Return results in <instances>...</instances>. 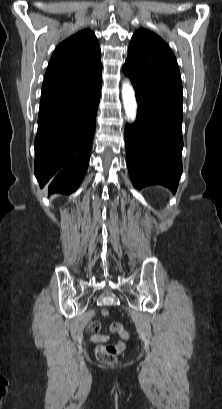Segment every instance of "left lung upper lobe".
Masks as SVG:
<instances>
[{"label": "left lung upper lobe", "instance_id": "obj_1", "mask_svg": "<svg viewBox=\"0 0 222 409\" xmlns=\"http://www.w3.org/2000/svg\"><path fill=\"white\" fill-rule=\"evenodd\" d=\"M123 72L139 83L182 102V84L176 58L157 34L139 29L132 36Z\"/></svg>", "mask_w": 222, "mask_h": 409}]
</instances>
